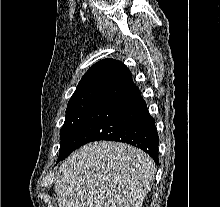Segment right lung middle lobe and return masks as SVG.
I'll use <instances>...</instances> for the list:
<instances>
[{
	"label": "right lung middle lobe",
	"instance_id": "1",
	"mask_svg": "<svg viewBox=\"0 0 220 207\" xmlns=\"http://www.w3.org/2000/svg\"><path fill=\"white\" fill-rule=\"evenodd\" d=\"M102 83H93L76 89L66 110L65 122L60 131L59 159L64 154L70 139L91 107Z\"/></svg>",
	"mask_w": 220,
	"mask_h": 207
}]
</instances>
